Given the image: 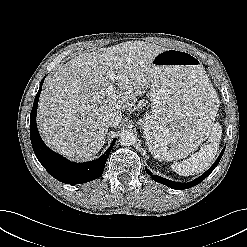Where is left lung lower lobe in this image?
<instances>
[{
    "mask_svg": "<svg viewBox=\"0 0 247 247\" xmlns=\"http://www.w3.org/2000/svg\"><path fill=\"white\" fill-rule=\"evenodd\" d=\"M224 150H225V148L221 151L216 162L210 167V169H208L203 175H201L197 179H195L191 182H188V183H178V182L170 181V180H167V179L162 178L160 176L152 175V172H150L147 168H145V169H146L147 174L151 175L152 179L154 181L162 183V184H164L168 187H171L173 189H178V190L187 189V188H191V187L199 184L200 182H202L215 169V167L218 165V163H219V161L223 155Z\"/></svg>",
    "mask_w": 247,
    "mask_h": 247,
    "instance_id": "left-lung-lower-lobe-1",
    "label": "left lung lower lobe"
}]
</instances>
